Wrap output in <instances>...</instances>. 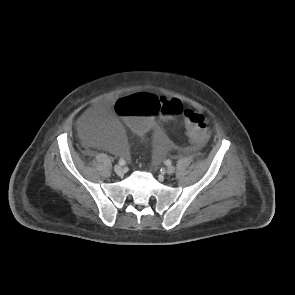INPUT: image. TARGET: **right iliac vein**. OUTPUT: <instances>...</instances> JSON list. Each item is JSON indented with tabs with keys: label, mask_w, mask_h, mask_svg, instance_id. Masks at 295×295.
Returning a JSON list of instances; mask_svg holds the SVG:
<instances>
[{
	"label": "right iliac vein",
	"mask_w": 295,
	"mask_h": 295,
	"mask_svg": "<svg viewBox=\"0 0 295 295\" xmlns=\"http://www.w3.org/2000/svg\"><path fill=\"white\" fill-rule=\"evenodd\" d=\"M114 171H115V173H116L117 175H121V174L123 173V168H122V166H120V165H116V166L114 167Z\"/></svg>",
	"instance_id": "obj_1"
}]
</instances>
